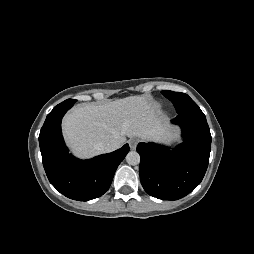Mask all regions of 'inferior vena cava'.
Listing matches in <instances>:
<instances>
[{"mask_svg":"<svg viewBox=\"0 0 254 254\" xmlns=\"http://www.w3.org/2000/svg\"><path fill=\"white\" fill-rule=\"evenodd\" d=\"M121 146V143L117 140L109 141L107 144L101 147V150L105 153L112 152L118 149Z\"/></svg>","mask_w":254,"mask_h":254,"instance_id":"inferior-vena-cava-1","label":"inferior vena cava"}]
</instances>
